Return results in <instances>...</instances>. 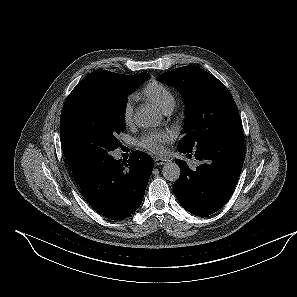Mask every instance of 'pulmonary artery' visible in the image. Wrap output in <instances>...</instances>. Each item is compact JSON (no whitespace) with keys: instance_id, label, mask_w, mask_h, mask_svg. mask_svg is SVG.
<instances>
[{"instance_id":"pulmonary-artery-1","label":"pulmonary artery","mask_w":297,"mask_h":297,"mask_svg":"<svg viewBox=\"0 0 297 297\" xmlns=\"http://www.w3.org/2000/svg\"><path fill=\"white\" fill-rule=\"evenodd\" d=\"M170 111H171V109L166 110L164 113L168 114V113H170Z\"/></svg>"}]
</instances>
